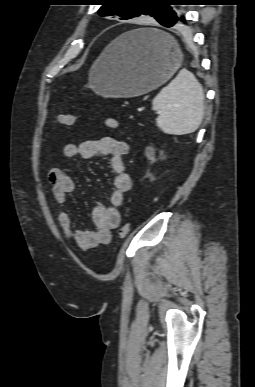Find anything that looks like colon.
<instances>
[{
  "mask_svg": "<svg viewBox=\"0 0 255 387\" xmlns=\"http://www.w3.org/2000/svg\"><path fill=\"white\" fill-rule=\"evenodd\" d=\"M59 121L60 123H62L63 125H66V126H72L75 124L76 122V118L75 116L73 115H66V114H63V115H60L59 117ZM104 125L109 128V129H118L120 124H119V121L115 118H105L104 121H103ZM130 229H131V226L129 223H125L123 224L120 228H119V231H118V235L120 238H125L127 237V235L129 234L130 232Z\"/></svg>",
  "mask_w": 255,
  "mask_h": 387,
  "instance_id": "5ec220e1",
  "label": "colon"
}]
</instances>
